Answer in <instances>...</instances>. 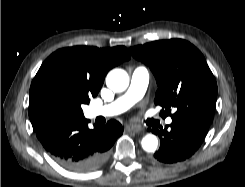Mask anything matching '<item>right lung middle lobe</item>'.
Returning a JSON list of instances; mask_svg holds the SVG:
<instances>
[{"label":"right lung middle lobe","mask_w":245,"mask_h":187,"mask_svg":"<svg viewBox=\"0 0 245 187\" xmlns=\"http://www.w3.org/2000/svg\"><path fill=\"white\" fill-rule=\"evenodd\" d=\"M97 94L64 66L43 63L30 87L29 117L32 125L83 117L82 104Z\"/></svg>","instance_id":"dd1d6c3e"}]
</instances>
